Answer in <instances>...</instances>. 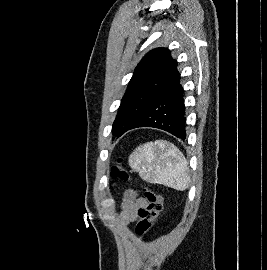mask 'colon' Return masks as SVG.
<instances>
[{
    "label": "colon",
    "instance_id": "colon-1",
    "mask_svg": "<svg viewBox=\"0 0 267 270\" xmlns=\"http://www.w3.org/2000/svg\"><path fill=\"white\" fill-rule=\"evenodd\" d=\"M121 159L116 160V164L112 167L111 175L115 179L129 180V172L122 166ZM146 205L138 213L135 224L136 233L143 237L152 229L154 222L163 209V198L161 194L154 188L145 186L143 188Z\"/></svg>",
    "mask_w": 267,
    "mask_h": 270
}]
</instances>
